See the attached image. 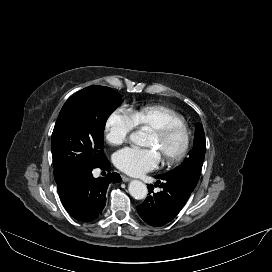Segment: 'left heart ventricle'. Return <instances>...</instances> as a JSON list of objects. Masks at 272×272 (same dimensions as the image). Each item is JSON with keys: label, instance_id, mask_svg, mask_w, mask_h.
<instances>
[{"label": "left heart ventricle", "instance_id": "1", "mask_svg": "<svg viewBox=\"0 0 272 272\" xmlns=\"http://www.w3.org/2000/svg\"><path fill=\"white\" fill-rule=\"evenodd\" d=\"M182 144V135L176 134L168 140L162 141L153 133L150 135L147 146L156 149L161 156L166 157L176 152Z\"/></svg>", "mask_w": 272, "mask_h": 272}]
</instances>
